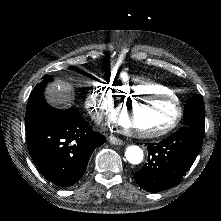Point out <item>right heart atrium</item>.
<instances>
[{
  "instance_id": "obj_1",
  "label": "right heart atrium",
  "mask_w": 221,
  "mask_h": 221,
  "mask_svg": "<svg viewBox=\"0 0 221 221\" xmlns=\"http://www.w3.org/2000/svg\"><path fill=\"white\" fill-rule=\"evenodd\" d=\"M111 82L104 81L102 83L96 84L92 91L88 92L87 95V105L92 107L93 111L99 112L108 109V106L112 104L114 100L111 93Z\"/></svg>"
}]
</instances>
